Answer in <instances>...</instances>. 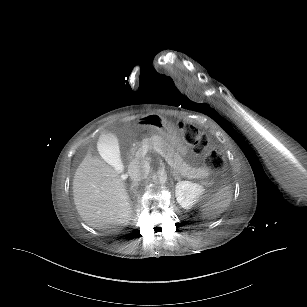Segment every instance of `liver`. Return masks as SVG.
I'll return each instance as SVG.
<instances>
[{"label":"liver","mask_w":307,"mask_h":307,"mask_svg":"<svg viewBox=\"0 0 307 307\" xmlns=\"http://www.w3.org/2000/svg\"><path fill=\"white\" fill-rule=\"evenodd\" d=\"M128 116L123 122L134 120ZM76 209L87 225L106 229L125 223L131 213L129 196L123 180L98 157L86 155L73 179Z\"/></svg>","instance_id":"obj_1"}]
</instances>
